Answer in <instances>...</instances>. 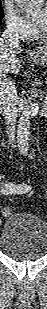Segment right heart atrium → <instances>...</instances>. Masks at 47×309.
I'll list each match as a JSON object with an SVG mask.
<instances>
[{
	"mask_svg": "<svg viewBox=\"0 0 47 309\" xmlns=\"http://www.w3.org/2000/svg\"><path fill=\"white\" fill-rule=\"evenodd\" d=\"M5 21L7 29L14 36L26 39L32 35V28L16 11L14 6L7 2L5 5Z\"/></svg>",
	"mask_w": 47,
	"mask_h": 309,
	"instance_id": "d8ad5b80",
	"label": "right heart atrium"
}]
</instances>
